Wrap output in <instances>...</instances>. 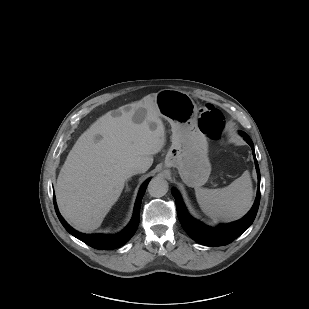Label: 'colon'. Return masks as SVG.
<instances>
[{"label": "colon", "instance_id": "5ec220e1", "mask_svg": "<svg viewBox=\"0 0 309 309\" xmlns=\"http://www.w3.org/2000/svg\"><path fill=\"white\" fill-rule=\"evenodd\" d=\"M224 118L222 113L210 104L200 108L198 128L212 139L219 140L222 137Z\"/></svg>", "mask_w": 309, "mask_h": 309}]
</instances>
